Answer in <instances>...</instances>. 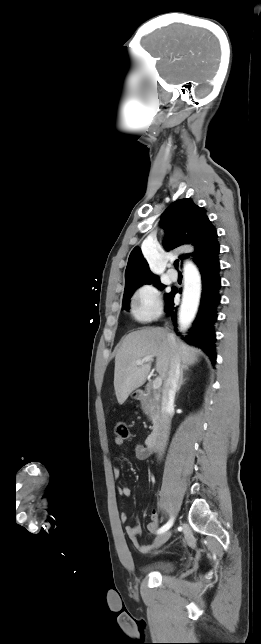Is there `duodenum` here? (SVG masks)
<instances>
[{
  "instance_id": "1",
  "label": "duodenum",
  "mask_w": 261,
  "mask_h": 644,
  "mask_svg": "<svg viewBox=\"0 0 261 644\" xmlns=\"http://www.w3.org/2000/svg\"><path fill=\"white\" fill-rule=\"evenodd\" d=\"M139 401L148 402L151 406L152 418L154 421V430L149 434L146 439V445L150 449H155L159 446L163 428V414L156 399L149 393L139 390L136 394Z\"/></svg>"
}]
</instances>
